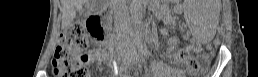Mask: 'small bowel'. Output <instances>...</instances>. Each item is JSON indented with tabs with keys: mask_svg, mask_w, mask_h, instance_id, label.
Here are the masks:
<instances>
[{
	"mask_svg": "<svg viewBox=\"0 0 258 77\" xmlns=\"http://www.w3.org/2000/svg\"><path fill=\"white\" fill-rule=\"evenodd\" d=\"M107 53L103 49H95L90 53V58L96 61H104L107 59Z\"/></svg>",
	"mask_w": 258,
	"mask_h": 77,
	"instance_id": "1",
	"label": "small bowel"
}]
</instances>
